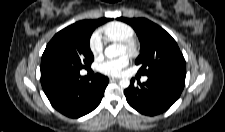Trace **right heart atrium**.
<instances>
[{"instance_id":"1","label":"right heart atrium","mask_w":225,"mask_h":132,"mask_svg":"<svg viewBox=\"0 0 225 132\" xmlns=\"http://www.w3.org/2000/svg\"><path fill=\"white\" fill-rule=\"evenodd\" d=\"M89 48L94 57H100L103 54V43L98 33H93L89 40Z\"/></svg>"}]
</instances>
